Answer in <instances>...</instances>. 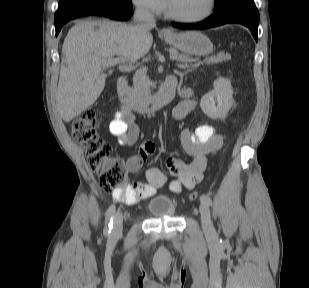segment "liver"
<instances>
[{"mask_svg": "<svg viewBox=\"0 0 309 288\" xmlns=\"http://www.w3.org/2000/svg\"><path fill=\"white\" fill-rule=\"evenodd\" d=\"M150 29L94 20L80 21L68 31L56 95L57 110L65 122L89 108L102 93L106 79L113 73H104L106 59L117 55L133 62L150 51Z\"/></svg>", "mask_w": 309, "mask_h": 288, "instance_id": "liver-1", "label": "liver"}]
</instances>
